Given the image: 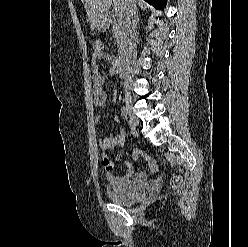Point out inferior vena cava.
Returning <instances> with one entry per match:
<instances>
[{
  "instance_id": "1",
  "label": "inferior vena cava",
  "mask_w": 248,
  "mask_h": 247,
  "mask_svg": "<svg viewBox=\"0 0 248 247\" xmlns=\"http://www.w3.org/2000/svg\"><path fill=\"white\" fill-rule=\"evenodd\" d=\"M124 20L127 27L129 48V60H133L136 56V28L138 22L137 7L135 0H124Z\"/></svg>"
}]
</instances>
